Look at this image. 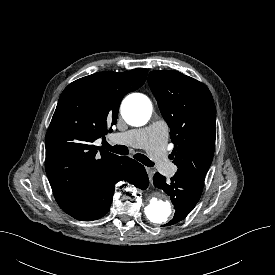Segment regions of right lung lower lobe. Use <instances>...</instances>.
<instances>
[{
  "mask_svg": "<svg viewBox=\"0 0 275 275\" xmlns=\"http://www.w3.org/2000/svg\"><path fill=\"white\" fill-rule=\"evenodd\" d=\"M120 180L127 181L140 189H146L149 182L143 165L127 156H121L119 163L113 167L109 176L87 191L78 208L66 213L83 221L103 217L110 208L115 184Z\"/></svg>",
  "mask_w": 275,
  "mask_h": 275,
  "instance_id": "right-lung-lower-lobe-1",
  "label": "right lung lower lobe"
}]
</instances>
